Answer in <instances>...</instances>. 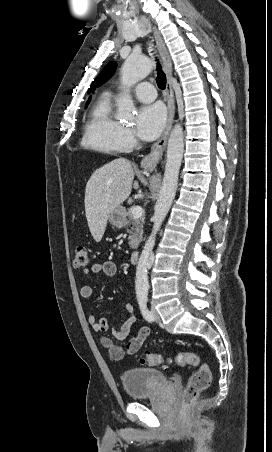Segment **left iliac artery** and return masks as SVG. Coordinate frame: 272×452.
Here are the masks:
<instances>
[{
	"instance_id": "44dca946",
	"label": "left iliac artery",
	"mask_w": 272,
	"mask_h": 452,
	"mask_svg": "<svg viewBox=\"0 0 272 452\" xmlns=\"http://www.w3.org/2000/svg\"><path fill=\"white\" fill-rule=\"evenodd\" d=\"M138 303L143 317L149 322L153 321L152 313L147 308V296H139Z\"/></svg>"
}]
</instances>
